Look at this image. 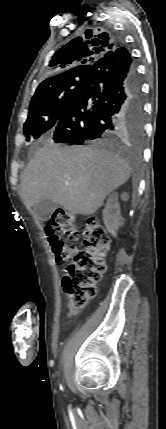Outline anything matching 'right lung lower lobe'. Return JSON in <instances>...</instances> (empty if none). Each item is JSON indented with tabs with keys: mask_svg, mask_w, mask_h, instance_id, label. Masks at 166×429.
<instances>
[{
	"mask_svg": "<svg viewBox=\"0 0 166 429\" xmlns=\"http://www.w3.org/2000/svg\"><path fill=\"white\" fill-rule=\"evenodd\" d=\"M143 123L140 79L130 53L119 47L91 66L55 126L53 140L101 144L123 128L138 132Z\"/></svg>",
	"mask_w": 166,
	"mask_h": 429,
	"instance_id": "right-lung-lower-lobe-1",
	"label": "right lung lower lobe"
}]
</instances>
